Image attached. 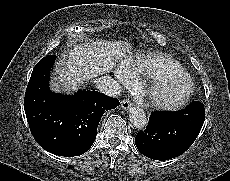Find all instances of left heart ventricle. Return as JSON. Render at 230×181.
<instances>
[{"mask_svg":"<svg viewBox=\"0 0 230 181\" xmlns=\"http://www.w3.org/2000/svg\"><path fill=\"white\" fill-rule=\"evenodd\" d=\"M185 88L183 81H176L170 87L167 88L165 94L169 96L179 95Z\"/></svg>","mask_w":230,"mask_h":181,"instance_id":"b2bd125f","label":"left heart ventricle"}]
</instances>
